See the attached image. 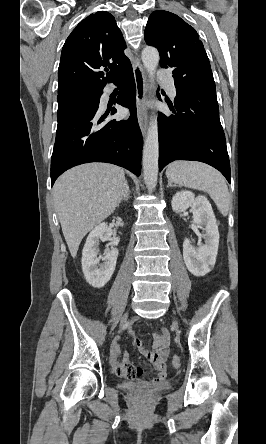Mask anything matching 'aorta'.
I'll use <instances>...</instances> for the list:
<instances>
[{"instance_id":"762f6f07","label":"aorta","mask_w":266,"mask_h":444,"mask_svg":"<svg viewBox=\"0 0 266 444\" xmlns=\"http://www.w3.org/2000/svg\"><path fill=\"white\" fill-rule=\"evenodd\" d=\"M142 62L151 81L159 63V52L156 48L147 46L142 51ZM159 141L157 116L150 118L149 128L143 148V175L149 191H153L158 179Z\"/></svg>"}]
</instances>
